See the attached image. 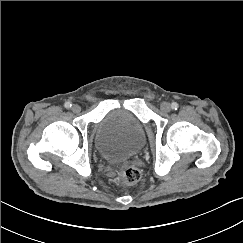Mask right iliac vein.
<instances>
[{
	"label": "right iliac vein",
	"mask_w": 243,
	"mask_h": 243,
	"mask_svg": "<svg viewBox=\"0 0 243 243\" xmlns=\"http://www.w3.org/2000/svg\"><path fill=\"white\" fill-rule=\"evenodd\" d=\"M71 110L74 113H79L81 111V107L78 104H73L72 107H71Z\"/></svg>",
	"instance_id": "right-iliac-vein-1"
}]
</instances>
